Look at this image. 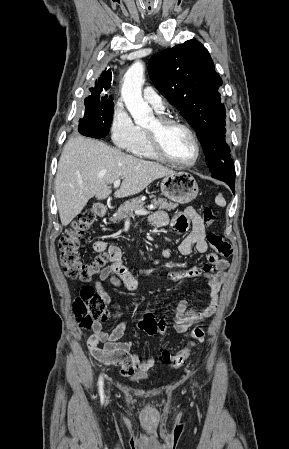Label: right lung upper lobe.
<instances>
[{
	"label": "right lung upper lobe",
	"instance_id": "cb5924a9",
	"mask_svg": "<svg viewBox=\"0 0 289 449\" xmlns=\"http://www.w3.org/2000/svg\"><path fill=\"white\" fill-rule=\"evenodd\" d=\"M111 79H112L111 71L110 70L104 71L102 73V75L100 76L98 82L97 81L95 82V87L90 88V91H91L90 96H97V95H100V93L103 90H108L111 85ZM103 97L104 98H112L111 96H108L107 94Z\"/></svg>",
	"mask_w": 289,
	"mask_h": 449
}]
</instances>
